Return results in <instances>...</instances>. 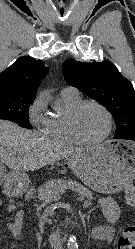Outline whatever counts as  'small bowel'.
I'll return each mask as SVG.
<instances>
[{"label": "small bowel", "mask_w": 135, "mask_h": 249, "mask_svg": "<svg viewBox=\"0 0 135 249\" xmlns=\"http://www.w3.org/2000/svg\"><path fill=\"white\" fill-rule=\"evenodd\" d=\"M1 205V201H0ZM100 206L102 209L103 217L105 223L103 225H98L93 229V237L104 240H111L113 236L112 224L119 218L120 210L118 205L109 197L100 200ZM7 210L9 212L16 211V205L14 203H9L7 205ZM24 220V211L19 209L16 211L15 219L9 224V228L16 237H21V227Z\"/></svg>", "instance_id": "1"}]
</instances>
